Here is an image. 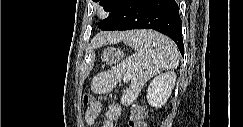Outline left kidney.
I'll use <instances>...</instances> for the list:
<instances>
[{
  "label": "left kidney",
  "instance_id": "5707ae66",
  "mask_svg": "<svg viewBox=\"0 0 243 127\" xmlns=\"http://www.w3.org/2000/svg\"><path fill=\"white\" fill-rule=\"evenodd\" d=\"M176 82L174 72H165L156 76L147 89V101L155 108L164 106L170 97Z\"/></svg>",
  "mask_w": 243,
  "mask_h": 127
}]
</instances>
